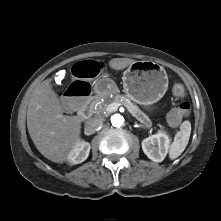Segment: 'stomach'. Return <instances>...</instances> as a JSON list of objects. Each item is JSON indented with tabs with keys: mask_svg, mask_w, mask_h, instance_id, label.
I'll return each instance as SVG.
<instances>
[{
	"mask_svg": "<svg viewBox=\"0 0 221 221\" xmlns=\"http://www.w3.org/2000/svg\"><path fill=\"white\" fill-rule=\"evenodd\" d=\"M123 87L134 102L150 107L159 101L168 87L164 68L152 61H135L123 73Z\"/></svg>",
	"mask_w": 221,
	"mask_h": 221,
	"instance_id": "stomach-1",
	"label": "stomach"
}]
</instances>
